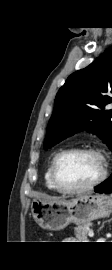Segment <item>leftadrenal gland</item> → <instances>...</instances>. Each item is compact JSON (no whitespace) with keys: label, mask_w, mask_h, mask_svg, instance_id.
<instances>
[{"label":"left adrenal gland","mask_w":112,"mask_h":270,"mask_svg":"<svg viewBox=\"0 0 112 270\" xmlns=\"http://www.w3.org/2000/svg\"><path fill=\"white\" fill-rule=\"evenodd\" d=\"M109 221H112V218H111ZM109 221H108V222H109ZM103 227H104V223H103V225L101 226V228H100V229H102Z\"/></svg>","instance_id":"obj_1"}]
</instances>
